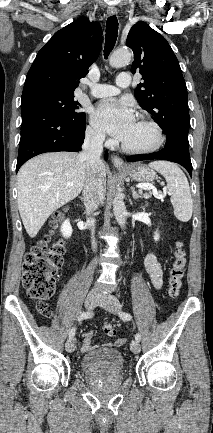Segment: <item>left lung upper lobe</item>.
<instances>
[{
    "label": "left lung upper lobe",
    "mask_w": 213,
    "mask_h": 433,
    "mask_svg": "<svg viewBox=\"0 0 213 433\" xmlns=\"http://www.w3.org/2000/svg\"><path fill=\"white\" fill-rule=\"evenodd\" d=\"M126 45L134 52L133 73H141L143 83L135 89L141 107L167 137L179 135L188 140L189 111L186 84L173 50L166 39L143 21L129 31Z\"/></svg>",
    "instance_id": "5c2ea615"
}]
</instances>
